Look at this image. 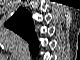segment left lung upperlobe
Here are the masks:
<instances>
[{"label":"left lung upper lobe","mask_w":80,"mask_h":60,"mask_svg":"<svg viewBox=\"0 0 80 60\" xmlns=\"http://www.w3.org/2000/svg\"><path fill=\"white\" fill-rule=\"evenodd\" d=\"M5 26L26 39L31 51L37 50V37L34 32L33 20L26 9L19 8L5 23Z\"/></svg>","instance_id":"obj_1"}]
</instances>
